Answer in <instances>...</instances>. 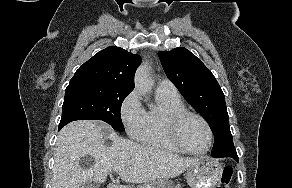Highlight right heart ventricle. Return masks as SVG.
Segmentation results:
<instances>
[{
    "mask_svg": "<svg viewBox=\"0 0 292 188\" xmlns=\"http://www.w3.org/2000/svg\"><path fill=\"white\" fill-rule=\"evenodd\" d=\"M156 98L159 108L146 111L143 128L136 138L147 146L171 152H181L168 136L165 117L171 112L185 109V105L179 95L157 91Z\"/></svg>",
    "mask_w": 292,
    "mask_h": 188,
    "instance_id": "right-heart-ventricle-1",
    "label": "right heart ventricle"
}]
</instances>
